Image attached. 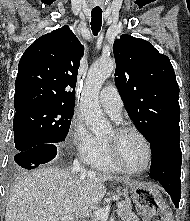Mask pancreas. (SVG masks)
<instances>
[{"instance_id": "pancreas-1", "label": "pancreas", "mask_w": 190, "mask_h": 221, "mask_svg": "<svg viewBox=\"0 0 190 221\" xmlns=\"http://www.w3.org/2000/svg\"><path fill=\"white\" fill-rule=\"evenodd\" d=\"M123 206L118 207V216L124 221H139V218L132 212V206L129 201H123ZM91 221H102L100 217L94 216Z\"/></svg>"}]
</instances>
